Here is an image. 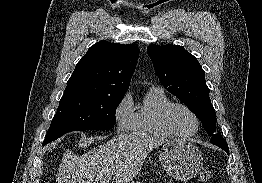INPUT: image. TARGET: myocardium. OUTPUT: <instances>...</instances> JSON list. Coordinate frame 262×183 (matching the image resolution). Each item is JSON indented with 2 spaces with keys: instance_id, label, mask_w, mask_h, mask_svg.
Instances as JSON below:
<instances>
[{
  "instance_id": "1",
  "label": "myocardium",
  "mask_w": 262,
  "mask_h": 183,
  "mask_svg": "<svg viewBox=\"0 0 262 183\" xmlns=\"http://www.w3.org/2000/svg\"><path fill=\"white\" fill-rule=\"evenodd\" d=\"M175 108H183L193 116L196 122V128L193 132L184 134V133H179L173 129V127L170 124V115ZM160 124L162 129L168 135L181 139L191 138L195 136L199 132L201 127V121L197 113L187 104L180 103V102H171L168 106L165 107V109L162 111L160 116Z\"/></svg>"
}]
</instances>
